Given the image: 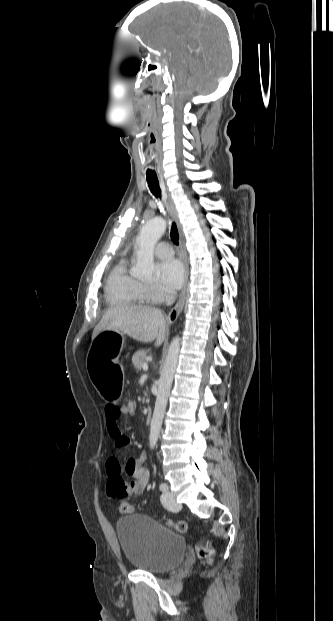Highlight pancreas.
<instances>
[{
	"mask_svg": "<svg viewBox=\"0 0 333 621\" xmlns=\"http://www.w3.org/2000/svg\"><path fill=\"white\" fill-rule=\"evenodd\" d=\"M147 357V351L138 350L132 356V363L137 370H141L143 364L145 363Z\"/></svg>",
	"mask_w": 333,
	"mask_h": 621,
	"instance_id": "cf45deb5",
	"label": "pancreas"
}]
</instances>
